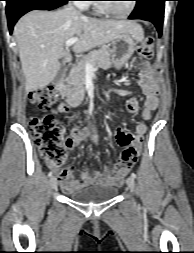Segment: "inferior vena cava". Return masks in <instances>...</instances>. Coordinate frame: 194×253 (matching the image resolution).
I'll use <instances>...</instances> for the list:
<instances>
[{
    "label": "inferior vena cava",
    "mask_w": 194,
    "mask_h": 253,
    "mask_svg": "<svg viewBox=\"0 0 194 253\" xmlns=\"http://www.w3.org/2000/svg\"><path fill=\"white\" fill-rule=\"evenodd\" d=\"M67 8L73 9V7H72V5L70 3L67 5Z\"/></svg>",
    "instance_id": "1"
}]
</instances>
